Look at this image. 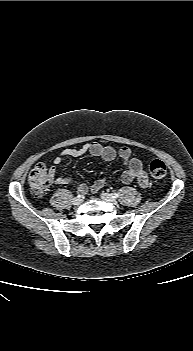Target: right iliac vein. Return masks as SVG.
<instances>
[{
	"label": "right iliac vein",
	"instance_id": "obj_1",
	"mask_svg": "<svg viewBox=\"0 0 193 351\" xmlns=\"http://www.w3.org/2000/svg\"><path fill=\"white\" fill-rule=\"evenodd\" d=\"M82 201V198L75 197L72 202L74 206H79L82 203Z\"/></svg>",
	"mask_w": 193,
	"mask_h": 351
}]
</instances>
